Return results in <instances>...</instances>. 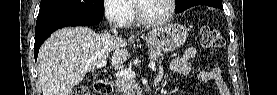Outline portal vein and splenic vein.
Segmentation results:
<instances>
[{"mask_svg":"<svg viewBox=\"0 0 277 95\" xmlns=\"http://www.w3.org/2000/svg\"><path fill=\"white\" fill-rule=\"evenodd\" d=\"M107 61L106 60H102L97 66L96 68H102L106 65ZM155 62H150L148 67L151 69H155ZM117 79H133L135 78L136 74L134 71L126 69V70H121L116 72L115 74Z\"/></svg>","mask_w":277,"mask_h":95,"instance_id":"1","label":"portal vein and splenic vein"}]
</instances>
